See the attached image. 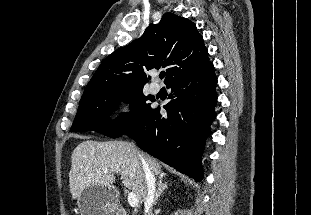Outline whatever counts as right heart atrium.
Here are the masks:
<instances>
[{
	"mask_svg": "<svg viewBox=\"0 0 311 215\" xmlns=\"http://www.w3.org/2000/svg\"><path fill=\"white\" fill-rule=\"evenodd\" d=\"M131 114V106L129 103H123L119 106L117 110V117L120 120L127 119Z\"/></svg>",
	"mask_w": 311,
	"mask_h": 215,
	"instance_id": "right-heart-atrium-1",
	"label": "right heart atrium"
}]
</instances>
